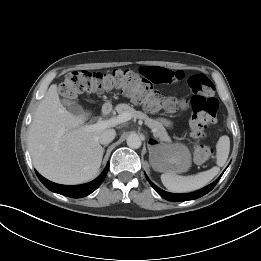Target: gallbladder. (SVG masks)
<instances>
[{
	"instance_id": "obj_1",
	"label": "gallbladder",
	"mask_w": 261,
	"mask_h": 261,
	"mask_svg": "<svg viewBox=\"0 0 261 261\" xmlns=\"http://www.w3.org/2000/svg\"><path fill=\"white\" fill-rule=\"evenodd\" d=\"M62 103L75 115H81L83 113L82 107L71 98L63 99Z\"/></svg>"
}]
</instances>
